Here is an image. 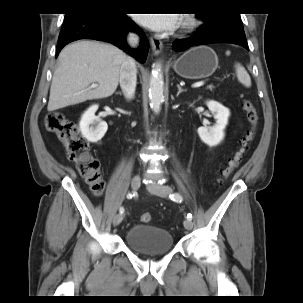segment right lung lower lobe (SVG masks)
<instances>
[{"label": "right lung lower lobe", "mask_w": 303, "mask_h": 303, "mask_svg": "<svg viewBox=\"0 0 303 303\" xmlns=\"http://www.w3.org/2000/svg\"><path fill=\"white\" fill-rule=\"evenodd\" d=\"M128 31H134L141 38L140 47L130 49L125 41ZM79 39H95L110 42L126 50L140 62H145L149 42L144 32L126 14L109 13L96 9H83L66 14L58 38L56 57L61 49L70 42Z\"/></svg>", "instance_id": "right-lung-lower-lobe-1"}]
</instances>
